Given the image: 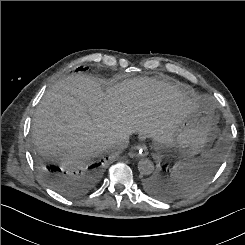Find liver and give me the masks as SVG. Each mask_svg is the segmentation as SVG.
Returning a JSON list of instances; mask_svg holds the SVG:
<instances>
[{"label":"liver","mask_w":245,"mask_h":245,"mask_svg":"<svg viewBox=\"0 0 245 245\" xmlns=\"http://www.w3.org/2000/svg\"><path fill=\"white\" fill-rule=\"evenodd\" d=\"M200 102V97L152 78L124 81L104 92L94 78L70 75L43 96L32 138L43 157L76 165L135 132L171 144L177 125Z\"/></svg>","instance_id":"liver-1"}]
</instances>
